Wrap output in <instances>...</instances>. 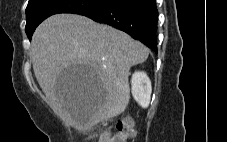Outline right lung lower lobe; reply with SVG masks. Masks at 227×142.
Here are the masks:
<instances>
[{"label":"right lung lower lobe","mask_w":227,"mask_h":142,"mask_svg":"<svg viewBox=\"0 0 227 142\" xmlns=\"http://www.w3.org/2000/svg\"><path fill=\"white\" fill-rule=\"evenodd\" d=\"M79 14L120 29L157 52L155 0H107Z\"/></svg>","instance_id":"obj_1"}]
</instances>
